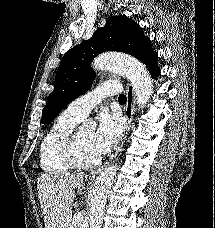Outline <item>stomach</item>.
Listing matches in <instances>:
<instances>
[{
    "instance_id": "0dacf381",
    "label": "stomach",
    "mask_w": 215,
    "mask_h": 228,
    "mask_svg": "<svg viewBox=\"0 0 215 228\" xmlns=\"http://www.w3.org/2000/svg\"><path fill=\"white\" fill-rule=\"evenodd\" d=\"M88 180H90V176H89ZM90 182H91V180H90ZM89 186H91V184H89Z\"/></svg>"
}]
</instances>
